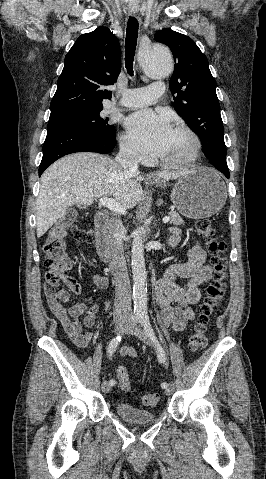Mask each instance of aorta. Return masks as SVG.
<instances>
[{
  "label": "aorta",
  "mask_w": 266,
  "mask_h": 479,
  "mask_svg": "<svg viewBox=\"0 0 266 479\" xmlns=\"http://www.w3.org/2000/svg\"><path fill=\"white\" fill-rule=\"evenodd\" d=\"M138 63L152 78L162 79L173 70L172 55L167 47L152 44L141 49ZM131 266L133 274V300L136 314L147 313V274L145 269L143 237L140 230L134 232L131 247Z\"/></svg>",
  "instance_id": "obj_1"
}]
</instances>
